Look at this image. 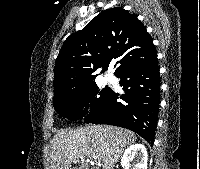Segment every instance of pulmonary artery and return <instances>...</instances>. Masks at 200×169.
Listing matches in <instances>:
<instances>
[{
	"mask_svg": "<svg viewBox=\"0 0 200 169\" xmlns=\"http://www.w3.org/2000/svg\"><path fill=\"white\" fill-rule=\"evenodd\" d=\"M106 80H107V81H111V78H107Z\"/></svg>",
	"mask_w": 200,
	"mask_h": 169,
	"instance_id": "e3ab8cb5",
	"label": "pulmonary artery"
}]
</instances>
